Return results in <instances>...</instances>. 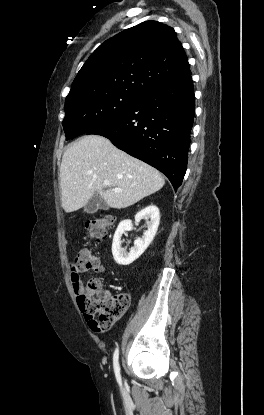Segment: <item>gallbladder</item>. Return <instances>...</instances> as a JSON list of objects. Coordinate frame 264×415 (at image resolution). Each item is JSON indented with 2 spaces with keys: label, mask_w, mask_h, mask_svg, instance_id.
Returning <instances> with one entry per match:
<instances>
[{
  "label": "gallbladder",
  "mask_w": 264,
  "mask_h": 415,
  "mask_svg": "<svg viewBox=\"0 0 264 415\" xmlns=\"http://www.w3.org/2000/svg\"><path fill=\"white\" fill-rule=\"evenodd\" d=\"M98 209H108V205L100 196H93L84 207V211L89 214L95 213Z\"/></svg>",
  "instance_id": "gallbladder-1"
}]
</instances>
